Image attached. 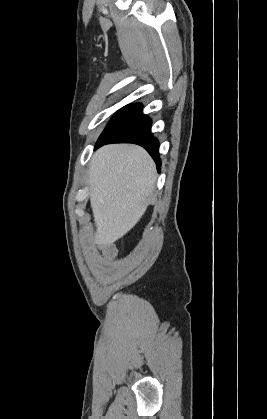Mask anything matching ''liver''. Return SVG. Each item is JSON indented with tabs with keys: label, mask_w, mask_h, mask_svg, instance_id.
<instances>
[{
	"label": "liver",
	"mask_w": 267,
	"mask_h": 419,
	"mask_svg": "<svg viewBox=\"0 0 267 419\" xmlns=\"http://www.w3.org/2000/svg\"><path fill=\"white\" fill-rule=\"evenodd\" d=\"M156 179L155 163L140 146L110 144L94 153L88 185L96 243L112 244L137 224Z\"/></svg>",
	"instance_id": "6515ba94"
}]
</instances>
